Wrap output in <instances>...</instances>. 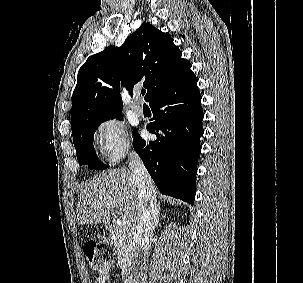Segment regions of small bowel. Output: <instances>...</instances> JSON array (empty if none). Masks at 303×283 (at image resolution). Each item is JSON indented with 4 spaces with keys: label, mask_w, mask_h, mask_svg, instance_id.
<instances>
[{
    "label": "small bowel",
    "mask_w": 303,
    "mask_h": 283,
    "mask_svg": "<svg viewBox=\"0 0 303 283\" xmlns=\"http://www.w3.org/2000/svg\"><path fill=\"white\" fill-rule=\"evenodd\" d=\"M113 266V260H108L105 265L104 268L102 269V271L99 273V276L96 280V283H106V281L109 278V272L111 267Z\"/></svg>",
    "instance_id": "c3829d8e"
}]
</instances>
